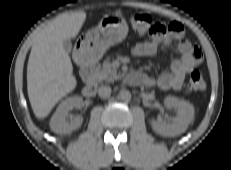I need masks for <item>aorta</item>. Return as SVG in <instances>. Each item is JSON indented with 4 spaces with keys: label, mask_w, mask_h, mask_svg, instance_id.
I'll list each match as a JSON object with an SVG mask.
<instances>
[{
    "label": "aorta",
    "mask_w": 231,
    "mask_h": 170,
    "mask_svg": "<svg viewBox=\"0 0 231 170\" xmlns=\"http://www.w3.org/2000/svg\"><path fill=\"white\" fill-rule=\"evenodd\" d=\"M118 99L123 101V102H128L131 100V93L128 90H120L119 94H118Z\"/></svg>",
    "instance_id": "obj_1"
}]
</instances>
